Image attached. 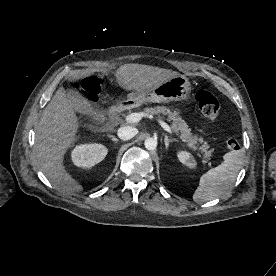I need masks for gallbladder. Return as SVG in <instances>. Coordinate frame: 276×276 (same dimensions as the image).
<instances>
[{"mask_svg": "<svg viewBox=\"0 0 276 276\" xmlns=\"http://www.w3.org/2000/svg\"><path fill=\"white\" fill-rule=\"evenodd\" d=\"M67 95L75 112L86 115L94 121H98L103 117V115L94 109L90 102L76 90L69 89Z\"/></svg>", "mask_w": 276, "mask_h": 276, "instance_id": "1", "label": "gallbladder"}]
</instances>
